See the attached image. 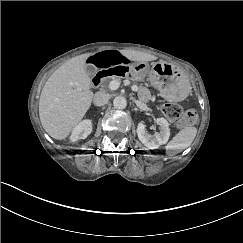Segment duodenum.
<instances>
[{
  "instance_id": "obj_1",
  "label": "duodenum",
  "mask_w": 243,
  "mask_h": 243,
  "mask_svg": "<svg viewBox=\"0 0 243 243\" xmlns=\"http://www.w3.org/2000/svg\"><path fill=\"white\" fill-rule=\"evenodd\" d=\"M135 72L132 65H121L99 71L92 79L94 86H98L106 78H129Z\"/></svg>"
}]
</instances>
